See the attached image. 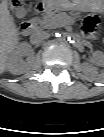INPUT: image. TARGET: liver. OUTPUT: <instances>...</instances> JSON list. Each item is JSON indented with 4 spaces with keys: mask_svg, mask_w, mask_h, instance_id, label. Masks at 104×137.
Returning <instances> with one entry per match:
<instances>
[{
    "mask_svg": "<svg viewBox=\"0 0 104 137\" xmlns=\"http://www.w3.org/2000/svg\"><path fill=\"white\" fill-rule=\"evenodd\" d=\"M22 1V0H21ZM18 46V34L13 18L10 16L7 2L0 5V67L6 69V60Z\"/></svg>",
    "mask_w": 104,
    "mask_h": 137,
    "instance_id": "6515ba94",
    "label": "liver"
}]
</instances>
